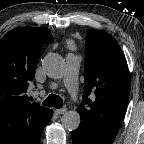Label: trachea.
<instances>
[{"label":"trachea","instance_id":"trachea-1","mask_svg":"<svg viewBox=\"0 0 144 144\" xmlns=\"http://www.w3.org/2000/svg\"><path fill=\"white\" fill-rule=\"evenodd\" d=\"M43 105L59 109L63 107V100L58 95L50 94L43 102Z\"/></svg>","mask_w":144,"mask_h":144}]
</instances>
